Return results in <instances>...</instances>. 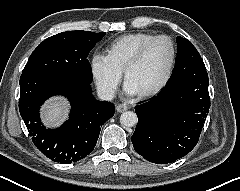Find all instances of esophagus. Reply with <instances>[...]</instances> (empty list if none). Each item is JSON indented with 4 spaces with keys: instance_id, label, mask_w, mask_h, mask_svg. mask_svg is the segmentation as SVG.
<instances>
[{
    "instance_id": "obj_1",
    "label": "esophagus",
    "mask_w": 240,
    "mask_h": 191,
    "mask_svg": "<svg viewBox=\"0 0 240 191\" xmlns=\"http://www.w3.org/2000/svg\"><path fill=\"white\" fill-rule=\"evenodd\" d=\"M128 109H129V107L125 104H119V105L116 106V110L120 113H122V112H124Z\"/></svg>"
}]
</instances>
